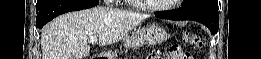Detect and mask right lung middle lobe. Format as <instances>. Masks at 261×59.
<instances>
[{
	"label": "right lung middle lobe",
	"mask_w": 261,
	"mask_h": 59,
	"mask_svg": "<svg viewBox=\"0 0 261 59\" xmlns=\"http://www.w3.org/2000/svg\"><path fill=\"white\" fill-rule=\"evenodd\" d=\"M50 0H37L36 4V10H38L41 6H43L45 3L49 2Z\"/></svg>",
	"instance_id": "dd1d6c3e"
}]
</instances>
